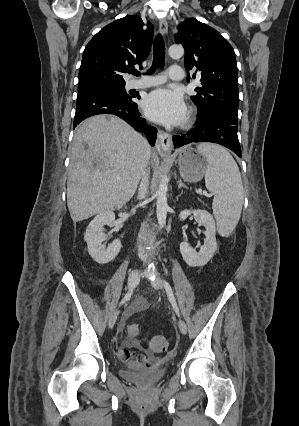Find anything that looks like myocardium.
Segmentation results:
<instances>
[{
  "mask_svg": "<svg viewBox=\"0 0 299 426\" xmlns=\"http://www.w3.org/2000/svg\"><path fill=\"white\" fill-rule=\"evenodd\" d=\"M193 119H194V110L193 109H190L189 111H188V115H187V118H186V121H185V126H188V125H190L191 123H192V121H193Z\"/></svg>",
  "mask_w": 299,
  "mask_h": 426,
  "instance_id": "myocardium-1",
  "label": "myocardium"
}]
</instances>
